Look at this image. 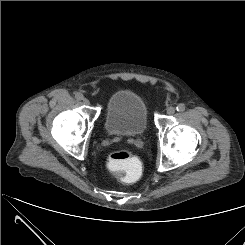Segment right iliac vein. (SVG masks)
<instances>
[{
	"mask_svg": "<svg viewBox=\"0 0 245 245\" xmlns=\"http://www.w3.org/2000/svg\"><path fill=\"white\" fill-rule=\"evenodd\" d=\"M83 103H84L85 105H89V104H90V101H89L87 98H84V99H83Z\"/></svg>",
	"mask_w": 245,
	"mask_h": 245,
	"instance_id": "1",
	"label": "right iliac vein"
}]
</instances>
